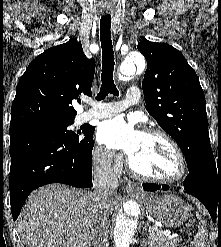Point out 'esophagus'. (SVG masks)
<instances>
[{
    "instance_id": "obj_1",
    "label": "esophagus",
    "mask_w": 221,
    "mask_h": 247,
    "mask_svg": "<svg viewBox=\"0 0 221 247\" xmlns=\"http://www.w3.org/2000/svg\"><path fill=\"white\" fill-rule=\"evenodd\" d=\"M125 189L127 192H140L139 186L132 183H128Z\"/></svg>"
}]
</instances>
